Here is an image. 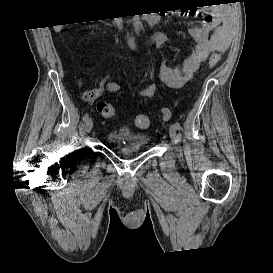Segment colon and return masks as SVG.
Wrapping results in <instances>:
<instances>
[{
	"instance_id": "5ec220e1",
	"label": "colon",
	"mask_w": 273,
	"mask_h": 273,
	"mask_svg": "<svg viewBox=\"0 0 273 273\" xmlns=\"http://www.w3.org/2000/svg\"><path fill=\"white\" fill-rule=\"evenodd\" d=\"M219 62V55L213 54L209 61V68H214ZM99 95L97 89H89L85 92L84 97L87 101H94ZM98 112L105 118H113L116 115V110L113 104L108 102H99L97 104ZM172 117L171 110L162 108L159 110V118L163 121H169ZM134 124L137 127L146 128L150 124V120L146 115H137L134 118Z\"/></svg>"
}]
</instances>
